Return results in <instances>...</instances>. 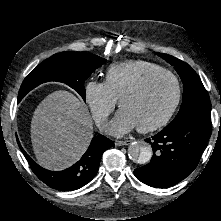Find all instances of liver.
<instances>
[{
  "mask_svg": "<svg viewBox=\"0 0 221 221\" xmlns=\"http://www.w3.org/2000/svg\"><path fill=\"white\" fill-rule=\"evenodd\" d=\"M93 137L91 115L85 105L68 91L49 94L35 109L31 141L39 165L63 170L87 150Z\"/></svg>",
  "mask_w": 221,
  "mask_h": 221,
  "instance_id": "1",
  "label": "liver"
}]
</instances>
